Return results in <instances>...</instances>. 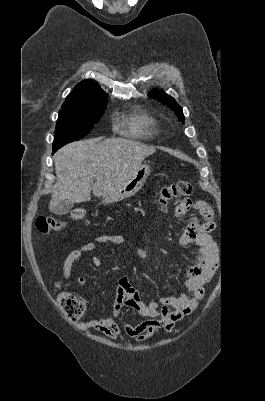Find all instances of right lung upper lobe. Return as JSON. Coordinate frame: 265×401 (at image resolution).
<instances>
[{"label":"right lung upper lobe","instance_id":"obj_1","mask_svg":"<svg viewBox=\"0 0 265 401\" xmlns=\"http://www.w3.org/2000/svg\"><path fill=\"white\" fill-rule=\"evenodd\" d=\"M107 100V94L94 80L88 79L78 83L66 97L62 106L69 104Z\"/></svg>","mask_w":265,"mask_h":401}]
</instances>
